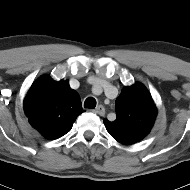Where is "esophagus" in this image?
Listing matches in <instances>:
<instances>
[{
  "label": "esophagus",
  "mask_w": 190,
  "mask_h": 190,
  "mask_svg": "<svg viewBox=\"0 0 190 190\" xmlns=\"http://www.w3.org/2000/svg\"><path fill=\"white\" fill-rule=\"evenodd\" d=\"M92 112H94L100 116H104L105 115V108L102 105H99L96 107V109L92 110Z\"/></svg>",
  "instance_id": "esophagus-1"
}]
</instances>
